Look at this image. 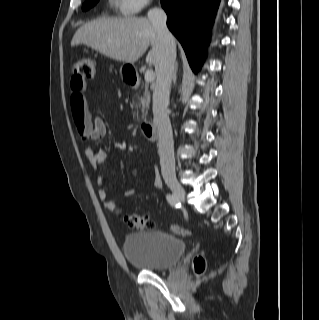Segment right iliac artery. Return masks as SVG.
<instances>
[{"label": "right iliac artery", "instance_id": "right-iliac-artery-1", "mask_svg": "<svg viewBox=\"0 0 319 320\" xmlns=\"http://www.w3.org/2000/svg\"><path fill=\"white\" fill-rule=\"evenodd\" d=\"M166 198H167L168 203L171 206H174V207H178L179 206V200L175 195L167 194Z\"/></svg>", "mask_w": 319, "mask_h": 320}]
</instances>
